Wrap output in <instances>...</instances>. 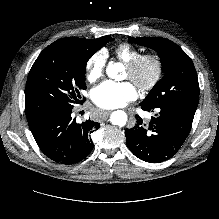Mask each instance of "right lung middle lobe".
Here are the masks:
<instances>
[{"instance_id": "obj_1", "label": "right lung middle lobe", "mask_w": 219, "mask_h": 219, "mask_svg": "<svg viewBox=\"0 0 219 219\" xmlns=\"http://www.w3.org/2000/svg\"><path fill=\"white\" fill-rule=\"evenodd\" d=\"M114 38H109L112 41ZM98 49L68 39L45 48L33 64L26 83L27 120L49 112L71 109L81 103L80 90L86 89L85 70Z\"/></svg>"}]
</instances>
